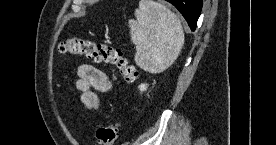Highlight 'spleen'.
<instances>
[{"instance_id": "spleen-1", "label": "spleen", "mask_w": 276, "mask_h": 145, "mask_svg": "<svg viewBox=\"0 0 276 145\" xmlns=\"http://www.w3.org/2000/svg\"><path fill=\"white\" fill-rule=\"evenodd\" d=\"M129 20L131 41L135 45V63L149 73L168 69L184 45L179 18L166 6L153 0H141Z\"/></svg>"}]
</instances>
